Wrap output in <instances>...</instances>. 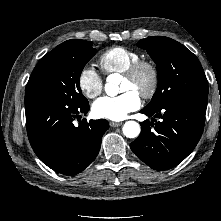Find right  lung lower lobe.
I'll use <instances>...</instances> for the list:
<instances>
[{
  "mask_svg": "<svg viewBox=\"0 0 221 221\" xmlns=\"http://www.w3.org/2000/svg\"><path fill=\"white\" fill-rule=\"evenodd\" d=\"M89 103L73 107L62 101L25 96L27 134L39 159L55 172L75 175L89 166L99 153L103 133L109 128L105 119L73 120L89 111Z\"/></svg>",
  "mask_w": 221,
  "mask_h": 221,
  "instance_id": "obj_1",
  "label": "right lung lower lobe"
}]
</instances>
